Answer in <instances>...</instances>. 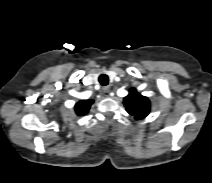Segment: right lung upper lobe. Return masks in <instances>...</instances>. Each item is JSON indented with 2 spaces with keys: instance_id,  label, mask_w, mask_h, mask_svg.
I'll use <instances>...</instances> for the list:
<instances>
[{
  "instance_id": "1",
  "label": "right lung upper lobe",
  "mask_w": 212,
  "mask_h": 183,
  "mask_svg": "<svg viewBox=\"0 0 212 183\" xmlns=\"http://www.w3.org/2000/svg\"><path fill=\"white\" fill-rule=\"evenodd\" d=\"M93 100H81L75 105V111L79 116L87 114Z\"/></svg>"
}]
</instances>
